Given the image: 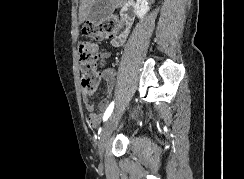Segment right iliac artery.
Segmentation results:
<instances>
[{
  "label": "right iliac artery",
  "mask_w": 244,
  "mask_h": 179,
  "mask_svg": "<svg viewBox=\"0 0 244 179\" xmlns=\"http://www.w3.org/2000/svg\"><path fill=\"white\" fill-rule=\"evenodd\" d=\"M113 108H114V101L109 105V107L105 111L103 121H106L110 117V115L113 111Z\"/></svg>",
  "instance_id": "right-iliac-artery-1"
}]
</instances>
